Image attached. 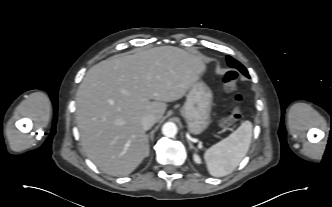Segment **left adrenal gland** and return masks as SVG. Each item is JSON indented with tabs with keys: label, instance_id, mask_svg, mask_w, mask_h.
<instances>
[{
	"label": "left adrenal gland",
	"instance_id": "1",
	"mask_svg": "<svg viewBox=\"0 0 332 207\" xmlns=\"http://www.w3.org/2000/svg\"><path fill=\"white\" fill-rule=\"evenodd\" d=\"M188 143H189V147L193 148V145H192V143L189 140H188Z\"/></svg>",
	"mask_w": 332,
	"mask_h": 207
}]
</instances>
